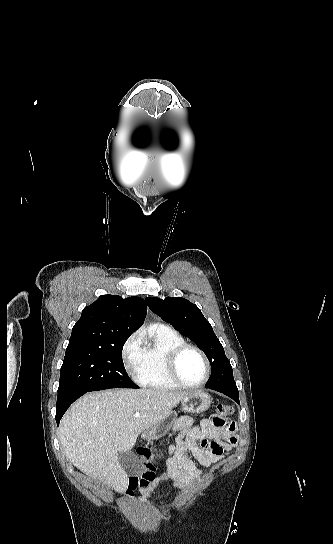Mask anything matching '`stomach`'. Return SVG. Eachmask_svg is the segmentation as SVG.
I'll use <instances>...</instances> for the list:
<instances>
[{"label": "stomach", "mask_w": 333, "mask_h": 544, "mask_svg": "<svg viewBox=\"0 0 333 544\" xmlns=\"http://www.w3.org/2000/svg\"><path fill=\"white\" fill-rule=\"evenodd\" d=\"M211 397L209 394L198 391L188 393L182 400V410L187 413H200L209 408ZM177 420L176 412H171L166 418L143 433V438L148 441L158 439L167 434Z\"/></svg>", "instance_id": "0dacf381"}]
</instances>
